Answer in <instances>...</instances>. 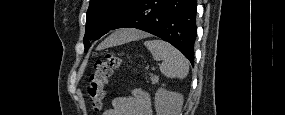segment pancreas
<instances>
[{
    "label": "pancreas",
    "instance_id": "obj_1",
    "mask_svg": "<svg viewBox=\"0 0 285 115\" xmlns=\"http://www.w3.org/2000/svg\"><path fill=\"white\" fill-rule=\"evenodd\" d=\"M150 79H151L152 84L158 83V80H159L158 76H155L153 74H151Z\"/></svg>",
    "mask_w": 285,
    "mask_h": 115
}]
</instances>
